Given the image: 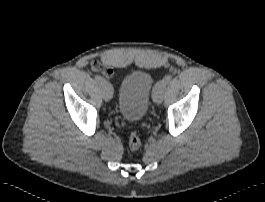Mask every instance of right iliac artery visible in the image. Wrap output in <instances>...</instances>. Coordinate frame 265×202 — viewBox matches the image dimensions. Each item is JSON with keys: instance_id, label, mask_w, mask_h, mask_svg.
I'll use <instances>...</instances> for the list:
<instances>
[{"instance_id": "1", "label": "right iliac artery", "mask_w": 265, "mask_h": 202, "mask_svg": "<svg viewBox=\"0 0 265 202\" xmlns=\"http://www.w3.org/2000/svg\"><path fill=\"white\" fill-rule=\"evenodd\" d=\"M94 79L99 84H101L102 82H104V79L100 75H95L94 76Z\"/></svg>"}]
</instances>
